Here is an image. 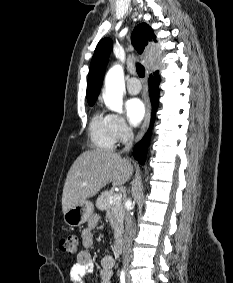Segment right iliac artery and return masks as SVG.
Here are the masks:
<instances>
[{"mask_svg":"<svg viewBox=\"0 0 233 283\" xmlns=\"http://www.w3.org/2000/svg\"><path fill=\"white\" fill-rule=\"evenodd\" d=\"M120 283H125V271L122 270L120 273Z\"/></svg>","mask_w":233,"mask_h":283,"instance_id":"right-iliac-artery-1","label":"right iliac artery"}]
</instances>
